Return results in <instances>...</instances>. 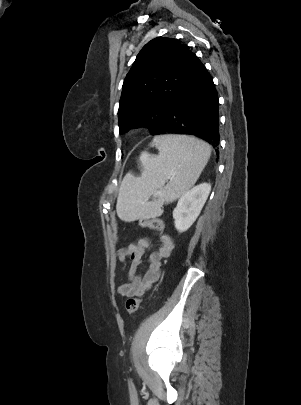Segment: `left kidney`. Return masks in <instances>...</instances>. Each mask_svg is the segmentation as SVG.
<instances>
[{
	"mask_svg": "<svg viewBox=\"0 0 301 405\" xmlns=\"http://www.w3.org/2000/svg\"><path fill=\"white\" fill-rule=\"evenodd\" d=\"M211 191L208 183L199 184L186 191L173 210L174 225L177 231L185 232L196 221Z\"/></svg>",
	"mask_w": 301,
	"mask_h": 405,
	"instance_id": "1",
	"label": "left kidney"
}]
</instances>
